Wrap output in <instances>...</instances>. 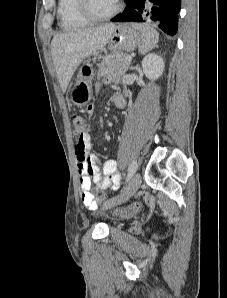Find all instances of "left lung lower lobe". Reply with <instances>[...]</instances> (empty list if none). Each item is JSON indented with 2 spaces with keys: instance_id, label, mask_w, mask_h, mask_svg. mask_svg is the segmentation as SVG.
I'll use <instances>...</instances> for the list:
<instances>
[{
  "instance_id": "0a47b994",
  "label": "left lung lower lobe",
  "mask_w": 227,
  "mask_h": 298,
  "mask_svg": "<svg viewBox=\"0 0 227 298\" xmlns=\"http://www.w3.org/2000/svg\"><path fill=\"white\" fill-rule=\"evenodd\" d=\"M124 11L112 22H148L169 35L177 32L181 0H126Z\"/></svg>"
}]
</instances>
